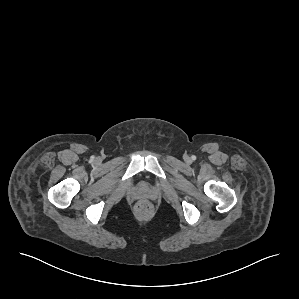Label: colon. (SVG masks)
<instances>
[{
	"label": "colon",
	"mask_w": 299,
	"mask_h": 299,
	"mask_svg": "<svg viewBox=\"0 0 299 299\" xmlns=\"http://www.w3.org/2000/svg\"><path fill=\"white\" fill-rule=\"evenodd\" d=\"M135 211L140 217H147L151 215L153 207L148 200H140L135 205Z\"/></svg>",
	"instance_id": "1"
}]
</instances>
